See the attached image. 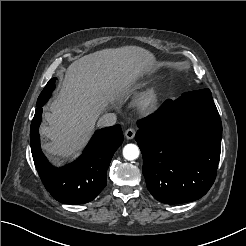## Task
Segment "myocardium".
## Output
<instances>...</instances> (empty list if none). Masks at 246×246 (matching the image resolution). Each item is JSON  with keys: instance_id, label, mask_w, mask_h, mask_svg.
Wrapping results in <instances>:
<instances>
[{"instance_id": "obj_1", "label": "myocardium", "mask_w": 246, "mask_h": 246, "mask_svg": "<svg viewBox=\"0 0 246 246\" xmlns=\"http://www.w3.org/2000/svg\"><path fill=\"white\" fill-rule=\"evenodd\" d=\"M157 100H158L157 90L149 89L139 99L138 108L143 112L150 111L155 107Z\"/></svg>"}]
</instances>
